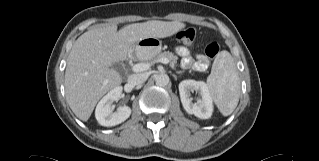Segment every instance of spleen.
Here are the masks:
<instances>
[{"mask_svg":"<svg viewBox=\"0 0 319 161\" xmlns=\"http://www.w3.org/2000/svg\"><path fill=\"white\" fill-rule=\"evenodd\" d=\"M207 87L222 115H230L239 102L240 81L236 64L228 51L217 54L207 78Z\"/></svg>","mask_w":319,"mask_h":161,"instance_id":"1","label":"spleen"}]
</instances>
